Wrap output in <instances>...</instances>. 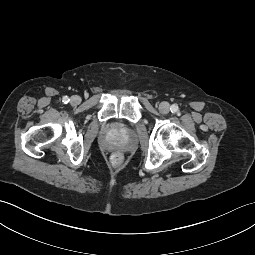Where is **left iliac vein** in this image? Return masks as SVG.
Listing matches in <instances>:
<instances>
[{
	"mask_svg": "<svg viewBox=\"0 0 255 255\" xmlns=\"http://www.w3.org/2000/svg\"><path fill=\"white\" fill-rule=\"evenodd\" d=\"M159 111L162 114H167L170 111V105L168 102H161L159 105Z\"/></svg>",
	"mask_w": 255,
	"mask_h": 255,
	"instance_id": "1",
	"label": "left iliac vein"
}]
</instances>
